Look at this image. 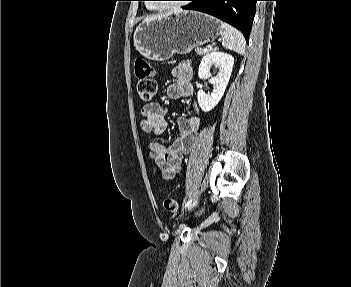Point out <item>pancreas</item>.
Wrapping results in <instances>:
<instances>
[{
    "label": "pancreas",
    "instance_id": "1",
    "mask_svg": "<svg viewBox=\"0 0 351 287\" xmlns=\"http://www.w3.org/2000/svg\"><path fill=\"white\" fill-rule=\"evenodd\" d=\"M195 51L197 52V54L201 55V54H205L206 52H204V49L201 48L200 46H197L195 48Z\"/></svg>",
    "mask_w": 351,
    "mask_h": 287
}]
</instances>
